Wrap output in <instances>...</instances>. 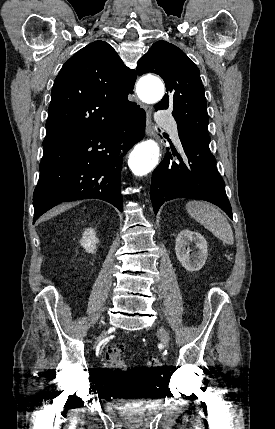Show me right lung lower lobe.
Wrapping results in <instances>:
<instances>
[{
  "label": "right lung lower lobe",
  "instance_id": "1",
  "mask_svg": "<svg viewBox=\"0 0 275 429\" xmlns=\"http://www.w3.org/2000/svg\"><path fill=\"white\" fill-rule=\"evenodd\" d=\"M145 122V111L135 105L116 123L44 148L33 223L55 205L81 199H101L122 211V158L144 137Z\"/></svg>",
  "mask_w": 275,
  "mask_h": 429
}]
</instances>
